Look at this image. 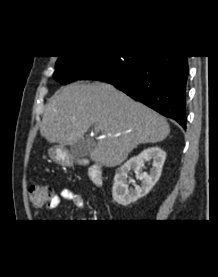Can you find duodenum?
Instances as JSON below:
<instances>
[{"instance_id": "410a0bca", "label": "duodenum", "mask_w": 218, "mask_h": 277, "mask_svg": "<svg viewBox=\"0 0 218 277\" xmlns=\"http://www.w3.org/2000/svg\"><path fill=\"white\" fill-rule=\"evenodd\" d=\"M89 179L96 185H101L103 180L102 169L99 165L93 164L88 169Z\"/></svg>"}]
</instances>
